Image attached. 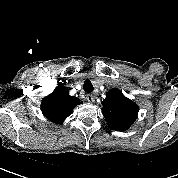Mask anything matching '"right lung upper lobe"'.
<instances>
[{
	"mask_svg": "<svg viewBox=\"0 0 178 178\" xmlns=\"http://www.w3.org/2000/svg\"><path fill=\"white\" fill-rule=\"evenodd\" d=\"M79 104L77 97L70 96L69 90L59 85L42 101L41 110L49 120L61 124Z\"/></svg>",
	"mask_w": 178,
	"mask_h": 178,
	"instance_id": "obj_1",
	"label": "right lung upper lobe"
}]
</instances>
